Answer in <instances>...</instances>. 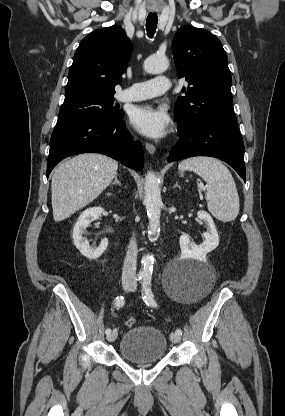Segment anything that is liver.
I'll return each instance as SVG.
<instances>
[{"instance_id": "liver-1", "label": "liver", "mask_w": 285, "mask_h": 416, "mask_svg": "<svg viewBox=\"0 0 285 416\" xmlns=\"http://www.w3.org/2000/svg\"><path fill=\"white\" fill-rule=\"evenodd\" d=\"M118 162L101 154H81L61 164L52 178L55 222L66 220L96 200L117 176Z\"/></svg>"}]
</instances>
